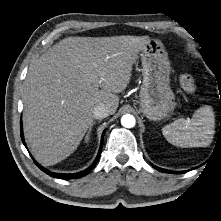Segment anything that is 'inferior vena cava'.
I'll return each instance as SVG.
<instances>
[{
    "mask_svg": "<svg viewBox=\"0 0 221 221\" xmlns=\"http://www.w3.org/2000/svg\"><path fill=\"white\" fill-rule=\"evenodd\" d=\"M109 115V109L105 104H99L94 107L93 117L96 119H102Z\"/></svg>",
    "mask_w": 221,
    "mask_h": 221,
    "instance_id": "obj_1",
    "label": "inferior vena cava"
}]
</instances>
